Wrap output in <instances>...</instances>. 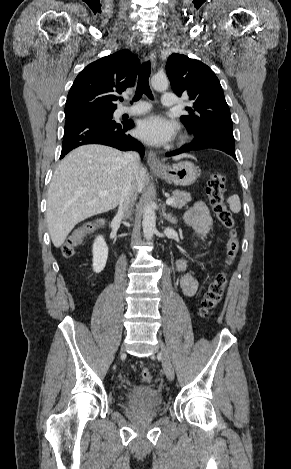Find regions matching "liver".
Segmentation results:
<instances>
[{"mask_svg": "<svg viewBox=\"0 0 291 469\" xmlns=\"http://www.w3.org/2000/svg\"><path fill=\"white\" fill-rule=\"evenodd\" d=\"M123 156L108 146L85 145L60 162L50 183L46 212L49 234L56 248L62 246L78 223L119 204L126 177ZM145 181L146 170L140 166L134 181L137 193L142 192ZM102 191L108 194L101 196Z\"/></svg>", "mask_w": 291, "mask_h": 469, "instance_id": "liver-1", "label": "liver"}]
</instances>
